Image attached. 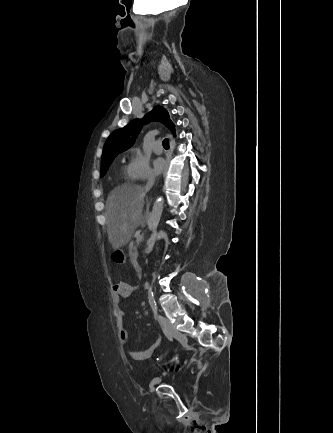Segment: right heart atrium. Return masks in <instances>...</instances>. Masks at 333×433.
Instances as JSON below:
<instances>
[{"mask_svg": "<svg viewBox=\"0 0 333 433\" xmlns=\"http://www.w3.org/2000/svg\"><path fill=\"white\" fill-rule=\"evenodd\" d=\"M127 168L130 177L135 180H145L154 176L149 159L137 149L131 151Z\"/></svg>", "mask_w": 333, "mask_h": 433, "instance_id": "right-heart-atrium-1", "label": "right heart atrium"}]
</instances>
